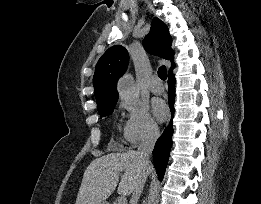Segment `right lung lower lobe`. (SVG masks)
Instances as JSON below:
<instances>
[{
  "mask_svg": "<svg viewBox=\"0 0 261 204\" xmlns=\"http://www.w3.org/2000/svg\"><path fill=\"white\" fill-rule=\"evenodd\" d=\"M168 102L171 113L174 114V98H175V77L172 71L168 73ZM172 134L173 125L172 120L170 121L167 128H165L164 133L157 140L153 154H154V167L156 168L158 177L162 180L166 165L169 158V152L172 147Z\"/></svg>",
  "mask_w": 261,
  "mask_h": 204,
  "instance_id": "1",
  "label": "right lung lower lobe"
}]
</instances>
